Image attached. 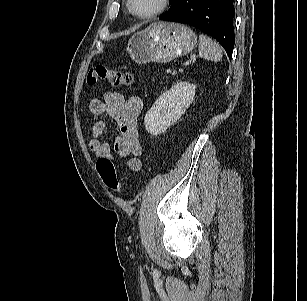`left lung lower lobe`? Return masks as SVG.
<instances>
[{"label":"left lung lower lobe","instance_id":"left-lung-lower-lobe-1","mask_svg":"<svg viewBox=\"0 0 307 301\" xmlns=\"http://www.w3.org/2000/svg\"><path fill=\"white\" fill-rule=\"evenodd\" d=\"M233 0H181L170 12L159 17L192 25L215 38L232 57L235 36Z\"/></svg>","mask_w":307,"mask_h":301}]
</instances>
